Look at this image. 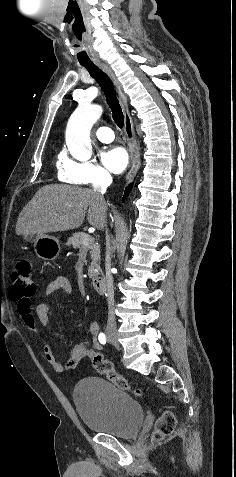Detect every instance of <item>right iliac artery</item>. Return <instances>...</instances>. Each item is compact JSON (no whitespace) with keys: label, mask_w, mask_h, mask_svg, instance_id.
Returning a JSON list of instances; mask_svg holds the SVG:
<instances>
[{"label":"right iliac artery","mask_w":236,"mask_h":477,"mask_svg":"<svg viewBox=\"0 0 236 477\" xmlns=\"http://www.w3.org/2000/svg\"><path fill=\"white\" fill-rule=\"evenodd\" d=\"M98 339H99V342H100L101 344H105V343H106V336H105L104 333L101 332V333L99 334V336H98Z\"/></svg>","instance_id":"right-iliac-artery-1"}]
</instances>
